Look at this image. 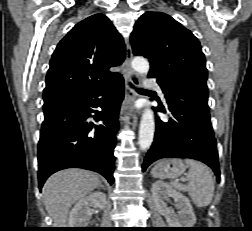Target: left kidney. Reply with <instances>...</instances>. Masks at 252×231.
<instances>
[{
  "instance_id": "left-kidney-1",
  "label": "left kidney",
  "mask_w": 252,
  "mask_h": 231,
  "mask_svg": "<svg viewBox=\"0 0 252 231\" xmlns=\"http://www.w3.org/2000/svg\"><path fill=\"white\" fill-rule=\"evenodd\" d=\"M151 192L157 210L165 216L170 228H192L196 222V217L187 197L170 188L164 182L153 183ZM170 198L175 202L178 209L177 214L167 206Z\"/></svg>"
}]
</instances>
